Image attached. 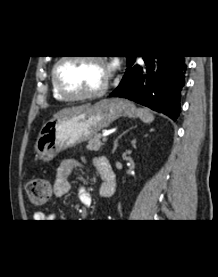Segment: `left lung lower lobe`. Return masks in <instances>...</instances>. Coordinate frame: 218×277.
<instances>
[{
  "label": "left lung lower lobe",
  "instance_id": "0a47b994",
  "mask_svg": "<svg viewBox=\"0 0 218 277\" xmlns=\"http://www.w3.org/2000/svg\"><path fill=\"white\" fill-rule=\"evenodd\" d=\"M144 66L133 65L135 56L119 86L110 96L124 97L164 113L174 121L180 114V94L184 85V56H144Z\"/></svg>",
  "mask_w": 218,
  "mask_h": 277
}]
</instances>
